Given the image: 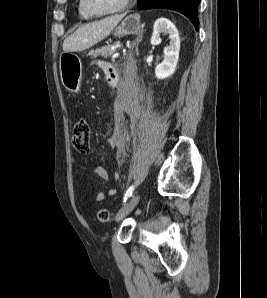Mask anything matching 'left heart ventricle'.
I'll list each match as a JSON object with an SVG mask.
<instances>
[{"instance_id":"b2bd125f","label":"left heart ventricle","mask_w":267,"mask_h":298,"mask_svg":"<svg viewBox=\"0 0 267 298\" xmlns=\"http://www.w3.org/2000/svg\"><path fill=\"white\" fill-rule=\"evenodd\" d=\"M124 0H87L89 7L96 12H109L117 9Z\"/></svg>"}]
</instances>
